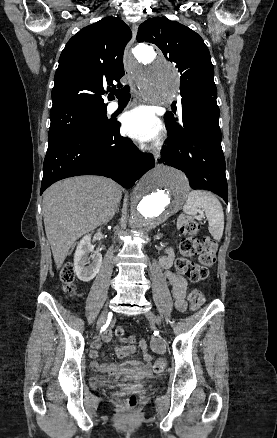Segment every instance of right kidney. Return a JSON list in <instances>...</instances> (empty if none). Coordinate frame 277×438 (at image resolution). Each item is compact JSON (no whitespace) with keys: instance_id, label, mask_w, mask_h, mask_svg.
<instances>
[{"instance_id":"ca27d5eb","label":"right kidney","mask_w":277,"mask_h":438,"mask_svg":"<svg viewBox=\"0 0 277 438\" xmlns=\"http://www.w3.org/2000/svg\"><path fill=\"white\" fill-rule=\"evenodd\" d=\"M89 254H91L90 258ZM101 264L102 254L94 252V246L91 244V234H87L80 240L74 254V270L78 280L91 282L97 276Z\"/></svg>"}]
</instances>
